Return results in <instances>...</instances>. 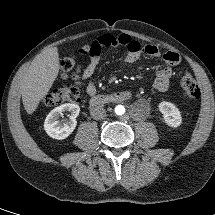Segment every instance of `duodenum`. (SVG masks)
Returning <instances> with one entry per match:
<instances>
[{"mask_svg":"<svg viewBox=\"0 0 215 215\" xmlns=\"http://www.w3.org/2000/svg\"><path fill=\"white\" fill-rule=\"evenodd\" d=\"M131 93L127 90L118 91L106 95H95L89 99L91 107H99L110 103H122L129 100Z\"/></svg>","mask_w":215,"mask_h":215,"instance_id":"1","label":"duodenum"}]
</instances>
